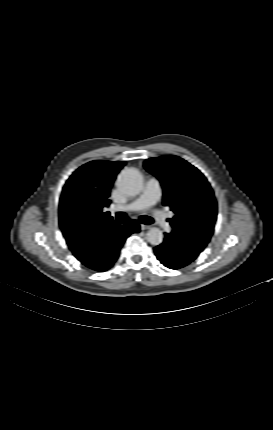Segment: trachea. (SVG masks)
<instances>
[{"label": "trachea", "instance_id": "obj_1", "mask_svg": "<svg viewBox=\"0 0 273 430\" xmlns=\"http://www.w3.org/2000/svg\"><path fill=\"white\" fill-rule=\"evenodd\" d=\"M128 219L129 218H128L126 213L119 212L116 214V220L119 223H126L128 221ZM139 221L143 224H146V225L152 224L154 222L153 219L149 216H141V217H139Z\"/></svg>", "mask_w": 273, "mask_h": 430}]
</instances>
